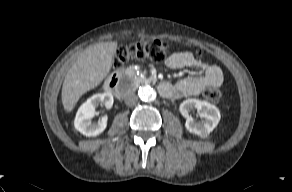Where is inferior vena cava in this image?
I'll use <instances>...</instances> for the list:
<instances>
[{
    "mask_svg": "<svg viewBox=\"0 0 292 192\" xmlns=\"http://www.w3.org/2000/svg\"><path fill=\"white\" fill-rule=\"evenodd\" d=\"M138 101V96L134 93H129L125 97V103L129 106L135 105Z\"/></svg>",
    "mask_w": 292,
    "mask_h": 192,
    "instance_id": "inferior-vena-cava-1",
    "label": "inferior vena cava"
}]
</instances>
